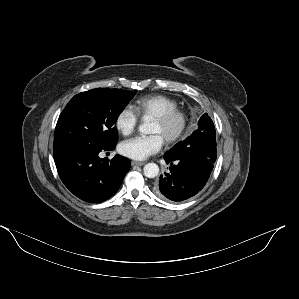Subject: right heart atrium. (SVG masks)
Listing matches in <instances>:
<instances>
[{
	"instance_id": "d8ad5b80",
	"label": "right heart atrium",
	"mask_w": 299,
	"mask_h": 299,
	"mask_svg": "<svg viewBox=\"0 0 299 299\" xmlns=\"http://www.w3.org/2000/svg\"><path fill=\"white\" fill-rule=\"evenodd\" d=\"M138 124V116L131 107H123L114 119V127L116 131L124 136H128L134 132Z\"/></svg>"
}]
</instances>
